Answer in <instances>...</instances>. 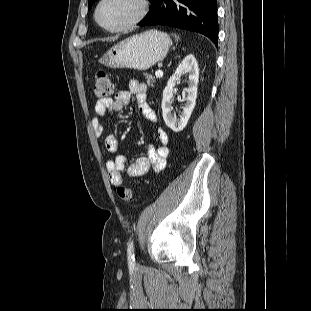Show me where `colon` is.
<instances>
[{
  "mask_svg": "<svg viewBox=\"0 0 311 311\" xmlns=\"http://www.w3.org/2000/svg\"><path fill=\"white\" fill-rule=\"evenodd\" d=\"M94 95L99 99L110 98L113 92V83L109 74L105 70H99L94 77L93 85ZM118 197L124 202H132L134 198V192L129 187H118Z\"/></svg>",
  "mask_w": 311,
  "mask_h": 311,
  "instance_id": "obj_1",
  "label": "colon"
}]
</instances>
